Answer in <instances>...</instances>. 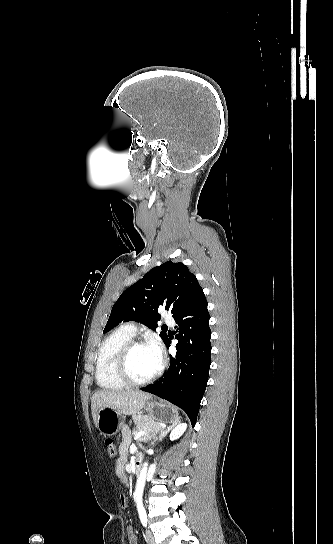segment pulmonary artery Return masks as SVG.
<instances>
[{
    "mask_svg": "<svg viewBox=\"0 0 333 544\" xmlns=\"http://www.w3.org/2000/svg\"><path fill=\"white\" fill-rule=\"evenodd\" d=\"M164 320L168 324H173L174 323V319L172 318L171 315H166ZM122 327L124 329H126L129 333H131L132 335H135L136 327H135V325L133 323H127V324L123 325Z\"/></svg>",
    "mask_w": 333,
    "mask_h": 544,
    "instance_id": "pulmonary-artery-1",
    "label": "pulmonary artery"
}]
</instances>
